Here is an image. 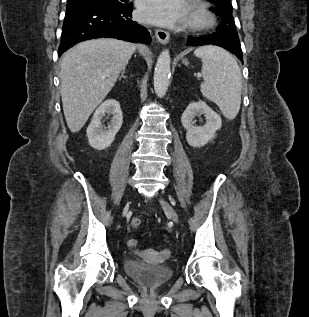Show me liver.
<instances>
[{
    "label": "liver",
    "instance_id": "6515ba94",
    "mask_svg": "<svg viewBox=\"0 0 309 317\" xmlns=\"http://www.w3.org/2000/svg\"><path fill=\"white\" fill-rule=\"evenodd\" d=\"M136 46L116 39H94L75 45L60 60L61 97L67 125L78 132L105 99ZM140 53L144 47H139Z\"/></svg>",
    "mask_w": 309,
    "mask_h": 317
}]
</instances>
